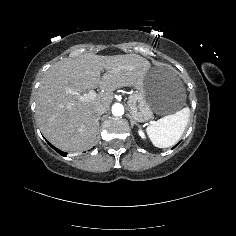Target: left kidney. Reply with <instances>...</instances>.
<instances>
[{"label": "left kidney", "mask_w": 236, "mask_h": 236, "mask_svg": "<svg viewBox=\"0 0 236 236\" xmlns=\"http://www.w3.org/2000/svg\"><path fill=\"white\" fill-rule=\"evenodd\" d=\"M137 134L139 135V137L143 140V141H147L148 137L145 133V131L142 128H139L137 131Z\"/></svg>", "instance_id": "left-kidney-1"}]
</instances>
